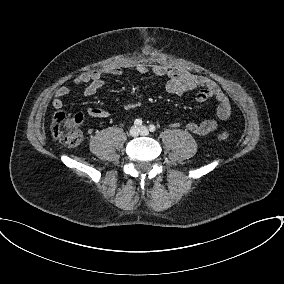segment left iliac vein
Instances as JSON below:
<instances>
[{
    "label": "left iliac vein",
    "mask_w": 284,
    "mask_h": 284,
    "mask_svg": "<svg viewBox=\"0 0 284 284\" xmlns=\"http://www.w3.org/2000/svg\"><path fill=\"white\" fill-rule=\"evenodd\" d=\"M139 131H140V134H142V135H148L149 134V131H148L147 127H145V126H141L139 128Z\"/></svg>",
    "instance_id": "4c4485c4"
}]
</instances>
